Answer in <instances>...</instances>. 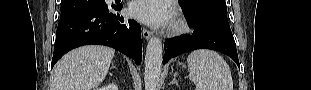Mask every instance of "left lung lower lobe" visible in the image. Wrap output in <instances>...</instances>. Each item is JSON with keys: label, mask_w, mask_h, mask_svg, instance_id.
I'll return each mask as SVG.
<instances>
[{"label": "left lung lower lobe", "mask_w": 311, "mask_h": 90, "mask_svg": "<svg viewBox=\"0 0 311 90\" xmlns=\"http://www.w3.org/2000/svg\"><path fill=\"white\" fill-rule=\"evenodd\" d=\"M203 48L220 51L230 56L240 66L231 30L215 23L194 25L191 36L181 40L165 41L163 64L187 51Z\"/></svg>", "instance_id": "1"}]
</instances>
